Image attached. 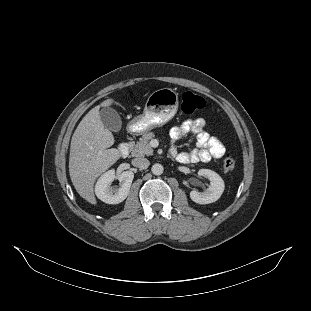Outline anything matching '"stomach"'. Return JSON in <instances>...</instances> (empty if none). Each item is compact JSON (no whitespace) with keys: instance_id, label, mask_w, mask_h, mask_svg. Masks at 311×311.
Wrapping results in <instances>:
<instances>
[{"instance_id":"stomach-1","label":"stomach","mask_w":311,"mask_h":311,"mask_svg":"<svg viewBox=\"0 0 311 311\" xmlns=\"http://www.w3.org/2000/svg\"><path fill=\"white\" fill-rule=\"evenodd\" d=\"M178 110V95L172 89L154 91L147 99L144 112L130 121L127 131L131 135H142L170 121Z\"/></svg>"}]
</instances>
